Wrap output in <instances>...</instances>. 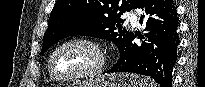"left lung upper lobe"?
<instances>
[{
    "label": "left lung upper lobe",
    "instance_id": "left-lung-upper-lobe-1",
    "mask_svg": "<svg viewBox=\"0 0 205 87\" xmlns=\"http://www.w3.org/2000/svg\"><path fill=\"white\" fill-rule=\"evenodd\" d=\"M139 0H57L40 54L58 40L74 35L92 36L112 41L124 49L133 32L122 29L120 16L134 9Z\"/></svg>",
    "mask_w": 205,
    "mask_h": 87
}]
</instances>
